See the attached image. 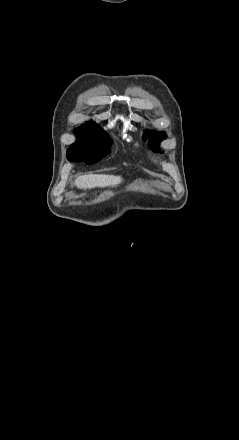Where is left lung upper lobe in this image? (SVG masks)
Listing matches in <instances>:
<instances>
[{
  "label": "left lung upper lobe",
  "instance_id": "obj_1",
  "mask_svg": "<svg viewBox=\"0 0 239 440\" xmlns=\"http://www.w3.org/2000/svg\"><path fill=\"white\" fill-rule=\"evenodd\" d=\"M148 134V132H147ZM164 132H151L150 134V140H149V146L153 151L160 152L158 143L165 138ZM143 139H146V136L143 137Z\"/></svg>",
  "mask_w": 239,
  "mask_h": 440
}]
</instances>
